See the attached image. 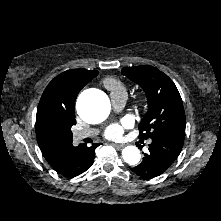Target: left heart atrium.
<instances>
[{
	"label": "left heart atrium",
	"instance_id": "left-heart-atrium-1",
	"mask_svg": "<svg viewBox=\"0 0 221 221\" xmlns=\"http://www.w3.org/2000/svg\"><path fill=\"white\" fill-rule=\"evenodd\" d=\"M129 127V121L123 120L120 123L110 125L106 130V137L110 139H119L122 137L124 130Z\"/></svg>",
	"mask_w": 221,
	"mask_h": 221
}]
</instances>
